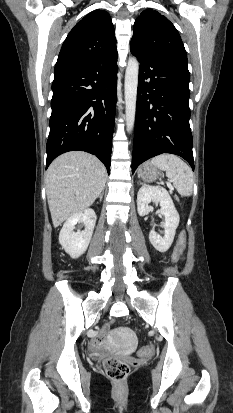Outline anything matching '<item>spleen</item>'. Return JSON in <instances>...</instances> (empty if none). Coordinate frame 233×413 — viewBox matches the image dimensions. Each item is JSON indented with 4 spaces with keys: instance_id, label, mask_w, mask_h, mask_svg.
<instances>
[{
    "instance_id": "spleen-1",
    "label": "spleen",
    "mask_w": 233,
    "mask_h": 413,
    "mask_svg": "<svg viewBox=\"0 0 233 413\" xmlns=\"http://www.w3.org/2000/svg\"><path fill=\"white\" fill-rule=\"evenodd\" d=\"M151 163L166 172L173 186L181 196H190L193 191V172L179 157L162 154L154 157Z\"/></svg>"
}]
</instances>
